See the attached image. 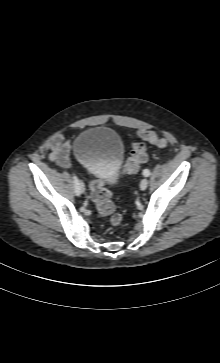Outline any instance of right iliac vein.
I'll use <instances>...</instances> for the list:
<instances>
[{
	"label": "right iliac vein",
	"mask_w": 220,
	"mask_h": 363,
	"mask_svg": "<svg viewBox=\"0 0 220 363\" xmlns=\"http://www.w3.org/2000/svg\"><path fill=\"white\" fill-rule=\"evenodd\" d=\"M81 193L85 191L84 183L80 181Z\"/></svg>",
	"instance_id": "right-iliac-vein-1"
}]
</instances>
